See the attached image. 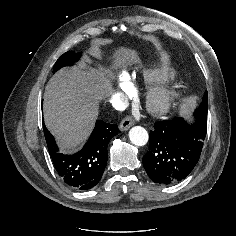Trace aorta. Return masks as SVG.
Returning <instances> with one entry per match:
<instances>
[{"label": "aorta", "instance_id": "aorta-1", "mask_svg": "<svg viewBox=\"0 0 236 236\" xmlns=\"http://www.w3.org/2000/svg\"><path fill=\"white\" fill-rule=\"evenodd\" d=\"M148 132L141 126H134L129 131V139L136 146H144L148 142Z\"/></svg>", "mask_w": 236, "mask_h": 236}]
</instances>
